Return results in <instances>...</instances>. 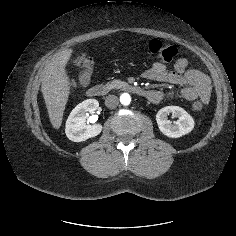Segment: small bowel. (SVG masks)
Returning a JSON list of instances; mask_svg holds the SVG:
<instances>
[{
	"label": "small bowel",
	"mask_w": 236,
	"mask_h": 236,
	"mask_svg": "<svg viewBox=\"0 0 236 236\" xmlns=\"http://www.w3.org/2000/svg\"><path fill=\"white\" fill-rule=\"evenodd\" d=\"M143 77L150 81L181 86L179 90H151L152 94L149 100L154 103L180 96L187 101H201L205 105L211 97L209 77L199 70L188 68V60L186 58H179L175 62L173 69H170L165 63L155 62L144 71Z\"/></svg>",
	"instance_id": "1"
}]
</instances>
